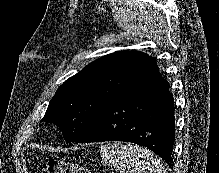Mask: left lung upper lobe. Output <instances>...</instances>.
Instances as JSON below:
<instances>
[{
  "label": "left lung upper lobe",
  "instance_id": "5c2ea615",
  "mask_svg": "<svg viewBox=\"0 0 219 173\" xmlns=\"http://www.w3.org/2000/svg\"><path fill=\"white\" fill-rule=\"evenodd\" d=\"M149 58L139 51H120L88 64L57 89L42 121L60 127L66 141H75L137 80Z\"/></svg>",
  "mask_w": 219,
  "mask_h": 173
}]
</instances>
